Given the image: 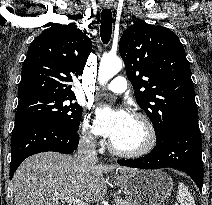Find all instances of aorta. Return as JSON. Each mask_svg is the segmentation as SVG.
Listing matches in <instances>:
<instances>
[{"mask_svg": "<svg viewBox=\"0 0 212 205\" xmlns=\"http://www.w3.org/2000/svg\"><path fill=\"white\" fill-rule=\"evenodd\" d=\"M122 60L116 56H104L98 69V80L103 85L122 69Z\"/></svg>", "mask_w": 212, "mask_h": 205, "instance_id": "762f6f07", "label": "aorta"}]
</instances>
